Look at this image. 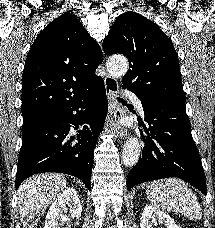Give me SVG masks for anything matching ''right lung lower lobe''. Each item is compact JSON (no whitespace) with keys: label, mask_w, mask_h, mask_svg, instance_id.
<instances>
[{"label":"right lung lower lobe","mask_w":215,"mask_h":228,"mask_svg":"<svg viewBox=\"0 0 215 228\" xmlns=\"http://www.w3.org/2000/svg\"><path fill=\"white\" fill-rule=\"evenodd\" d=\"M76 111L77 114H74ZM107 115V96L102 77L97 76L66 107L22 130L15 186L28 177L44 172L75 176L90 190L94 148ZM78 143L69 136L72 126Z\"/></svg>","instance_id":"1"}]
</instances>
